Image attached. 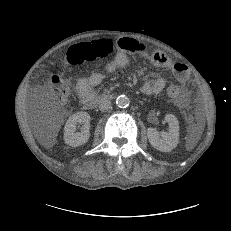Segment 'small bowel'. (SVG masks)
Masks as SVG:
<instances>
[{
	"label": "small bowel",
	"instance_id": "obj_1",
	"mask_svg": "<svg viewBox=\"0 0 231 231\" xmlns=\"http://www.w3.org/2000/svg\"><path fill=\"white\" fill-rule=\"evenodd\" d=\"M118 52L115 57L106 65L107 72H113L117 68L127 66L133 55L150 59L156 66L171 69L176 80L185 84L189 79L187 67L182 63H174L166 54L161 51L150 52L142 43L133 38H119L117 40ZM104 80L101 72H95L89 77L82 78L76 83V92L81 101L90 100L95 94V87ZM165 87V80L161 77L146 75L141 91L146 95L158 94Z\"/></svg>",
	"mask_w": 231,
	"mask_h": 231
}]
</instances>
